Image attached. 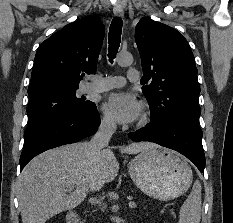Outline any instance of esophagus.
Masks as SVG:
<instances>
[{"instance_id":"34e87169","label":"esophagus","mask_w":233,"mask_h":223,"mask_svg":"<svg viewBox=\"0 0 233 223\" xmlns=\"http://www.w3.org/2000/svg\"><path fill=\"white\" fill-rule=\"evenodd\" d=\"M113 13L116 17H123L124 11L120 2L116 3L113 7Z\"/></svg>"}]
</instances>
